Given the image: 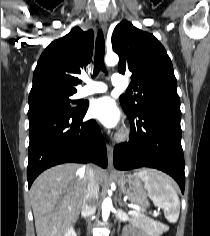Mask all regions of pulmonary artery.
<instances>
[{"instance_id": "pulmonary-artery-1", "label": "pulmonary artery", "mask_w": 210, "mask_h": 236, "mask_svg": "<svg viewBox=\"0 0 210 236\" xmlns=\"http://www.w3.org/2000/svg\"><path fill=\"white\" fill-rule=\"evenodd\" d=\"M124 83H125V80L121 75L119 74L113 75L112 84L114 86L121 87L124 85ZM107 89H108L107 86L102 82H89L88 81V85L80 89L79 96L83 97V96H88L94 93H103V92H106Z\"/></svg>"}]
</instances>
